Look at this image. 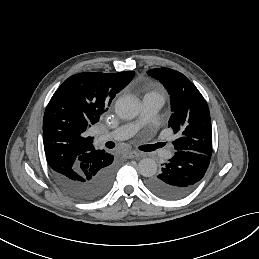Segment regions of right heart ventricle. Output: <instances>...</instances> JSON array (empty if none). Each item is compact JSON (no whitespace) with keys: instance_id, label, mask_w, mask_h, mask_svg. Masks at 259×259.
Masks as SVG:
<instances>
[{"instance_id":"right-heart-ventricle-1","label":"right heart ventricle","mask_w":259,"mask_h":259,"mask_svg":"<svg viewBox=\"0 0 259 259\" xmlns=\"http://www.w3.org/2000/svg\"><path fill=\"white\" fill-rule=\"evenodd\" d=\"M140 92L143 94V98L159 95L165 96L163 88L156 84L145 86L140 89Z\"/></svg>"}]
</instances>
